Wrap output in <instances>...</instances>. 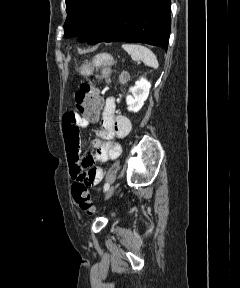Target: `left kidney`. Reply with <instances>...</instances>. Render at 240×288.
<instances>
[{
    "label": "left kidney",
    "instance_id": "1",
    "mask_svg": "<svg viewBox=\"0 0 240 288\" xmlns=\"http://www.w3.org/2000/svg\"><path fill=\"white\" fill-rule=\"evenodd\" d=\"M151 83L147 79L141 77L136 81L135 86L130 88L131 95L126 97L128 111L138 112L147 100Z\"/></svg>",
    "mask_w": 240,
    "mask_h": 288
}]
</instances>
